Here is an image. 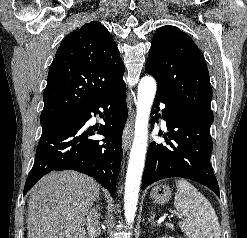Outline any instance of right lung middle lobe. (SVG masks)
Masks as SVG:
<instances>
[{
	"label": "right lung middle lobe",
	"instance_id": "1",
	"mask_svg": "<svg viewBox=\"0 0 247 238\" xmlns=\"http://www.w3.org/2000/svg\"><path fill=\"white\" fill-rule=\"evenodd\" d=\"M64 117H66V116H64ZM64 117H59V118L40 121L41 125H42V130L55 125L56 123H58L61 120H63Z\"/></svg>",
	"mask_w": 247,
	"mask_h": 238
}]
</instances>
